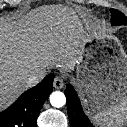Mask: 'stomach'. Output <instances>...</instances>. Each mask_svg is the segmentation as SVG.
<instances>
[{
    "mask_svg": "<svg viewBox=\"0 0 127 127\" xmlns=\"http://www.w3.org/2000/svg\"><path fill=\"white\" fill-rule=\"evenodd\" d=\"M74 83L93 112L119 104L127 98V55L96 32H85Z\"/></svg>",
    "mask_w": 127,
    "mask_h": 127,
    "instance_id": "stomach-1",
    "label": "stomach"
}]
</instances>
